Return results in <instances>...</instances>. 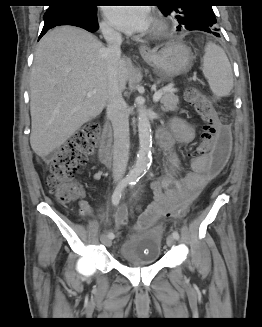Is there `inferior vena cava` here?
<instances>
[{
    "instance_id": "602c4592",
    "label": "inferior vena cava",
    "mask_w": 262,
    "mask_h": 327,
    "mask_svg": "<svg viewBox=\"0 0 262 327\" xmlns=\"http://www.w3.org/2000/svg\"><path fill=\"white\" fill-rule=\"evenodd\" d=\"M101 31L107 42L105 50L108 72L107 115L114 131L112 176L114 181H120L126 172L130 147L128 113L117 79L122 36L108 25H103Z\"/></svg>"
}]
</instances>
